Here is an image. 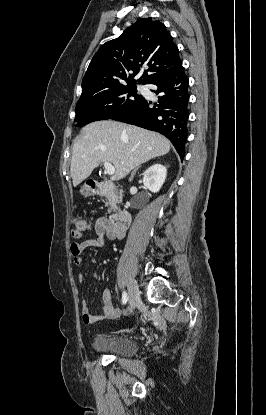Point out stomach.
I'll return each instance as SVG.
<instances>
[{"label": "stomach", "instance_id": "1", "mask_svg": "<svg viewBox=\"0 0 266 415\" xmlns=\"http://www.w3.org/2000/svg\"><path fill=\"white\" fill-rule=\"evenodd\" d=\"M80 193L84 196V197H89L95 194V191L90 188L88 185H83L81 187Z\"/></svg>", "mask_w": 266, "mask_h": 415}]
</instances>
